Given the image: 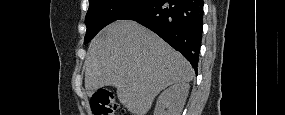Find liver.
<instances>
[{
  "instance_id": "1",
  "label": "liver",
  "mask_w": 285,
  "mask_h": 115,
  "mask_svg": "<svg viewBox=\"0 0 285 115\" xmlns=\"http://www.w3.org/2000/svg\"><path fill=\"white\" fill-rule=\"evenodd\" d=\"M84 68L88 96L114 86L119 101L136 115H146L161 90L194 76L179 52L131 20L109 24L92 40Z\"/></svg>"
}]
</instances>
